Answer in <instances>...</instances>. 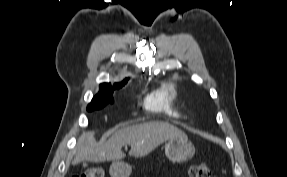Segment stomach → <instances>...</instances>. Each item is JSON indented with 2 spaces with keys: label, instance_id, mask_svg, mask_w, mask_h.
I'll use <instances>...</instances> for the list:
<instances>
[{
  "label": "stomach",
  "instance_id": "0dacf381",
  "mask_svg": "<svg viewBox=\"0 0 287 177\" xmlns=\"http://www.w3.org/2000/svg\"><path fill=\"white\" fill-rule=\"evenodd\" d=\"M195 153L194 145L187 138H175L165 144V154L171 162H186ZM132 167L124 162H113L110 166L111 177H129Z\"/></svg>",
  "mask_w": 287,
  "mask_h": 177
}]
</instances>
